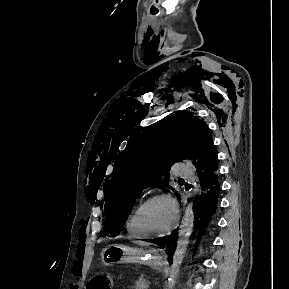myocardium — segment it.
Instances as JSON below:
<instances>
[{
  "instance_id": "obj_1",
  "label": "myocardium",
  "mask_w": 289,
  "mask_h": 289,
  "mask_svg": "<svg viewBox=\"0 0 289 289\" xmlns=\"http://www.w3.org/2000/svg\"><path fill=\"white\" fill-rule=\"evenodd\" d=\"M166 200L168 201L173 209V219L172 222L170 223V225L162 230V231H147L145 230L140 222V216L142 211L144 210V208L151 203L154 200ZM178 218H179V210H178V206L176 201L169 195L166 193H155L152 194L150 196H148L137 208L135 211V216H134V222L135 225L137 227V229L146 237H161V236H165L167 234H169L176 226L177 222H178Z\"/></svg>"
}]
</instances>
